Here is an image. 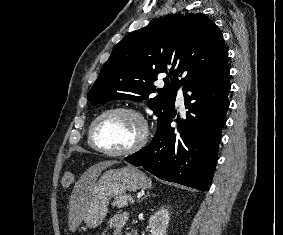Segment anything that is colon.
<instances>
[{"label":"colon","mask_w":283,"mask_h":235,"mask_svg":"<svg viewBox=\"0 0 283 235\" xmlns=\"http://www.w3.org/2000/svg\"><path fill=\"white\" fill-rule=\"evenodd\" d=\"M73 182V174L70 171L64 172L61 177V186L63 188H68Z\"/></svg>","instance_id":"colon-1"}]
</instances>
